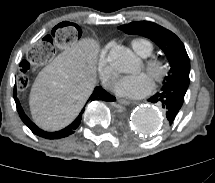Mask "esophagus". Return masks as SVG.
Returning <instances> with one entry per match:
<instances>
[{
	"label": "esophagus",
	"mask_w": 215,
	"mask_h": 183,
	"mask_svg": "<svg viewBox=\"0 0 215 183\" xmlns=\"http://www.w3.org/2000/svg\"><path fill=\"white\" fill-rule=\"evenodd\" d=\"M118 102L122 105H130L132 102L130 100L118 98Z\"/></svg>",
	"instance_id": "esophagus-1"
}]
</instances>
